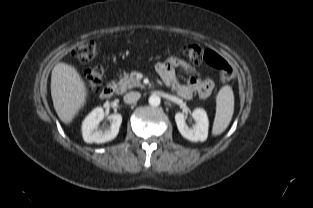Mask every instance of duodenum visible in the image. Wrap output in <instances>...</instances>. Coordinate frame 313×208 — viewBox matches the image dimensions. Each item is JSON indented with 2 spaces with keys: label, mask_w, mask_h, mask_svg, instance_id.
<instances>
[{
  "label": "duodenum",
  "mask_w": 313,
  "mask_h": 208,
  "mask_svg": "<svg viewBox=\"0 0 313 208\" xmlns=\"http://www.w3.org/2000/svg\"><path fill=\"white\" fill-rule=\"evenodd\" d=\"M115 90H116V87L114 84H108L102 89V91L100 93V97L103 99H108V98L112 97Z\"/></svg>",
  "instance_id": "duodenum-1"
}]
</instances>
